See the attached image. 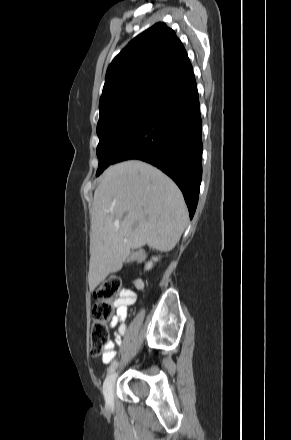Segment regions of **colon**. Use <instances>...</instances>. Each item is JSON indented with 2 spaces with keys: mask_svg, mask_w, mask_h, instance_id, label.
<instances>
[{
  "mask_svg": "<svg viewBox=\"0 0 291 440\" xmlns=\"http://www.w3.org/2000/svg\"><path fill=\"white\" fill-rule=\"evenodd\" d=\"M139 283L135 288H139ZM125 289H122L121 281L117 277H110L94 291L96 300L92 310V322L90 326V353L93 356L104 355L109 345V335L106 321L113 312L110 301L121 295Z\"/></svg>",
  "mask_w": 291,
  "mask_h": 440,
  "instance_id": "5ec220e1",
  "label": "colon"
}]
</instances>
